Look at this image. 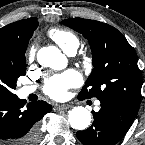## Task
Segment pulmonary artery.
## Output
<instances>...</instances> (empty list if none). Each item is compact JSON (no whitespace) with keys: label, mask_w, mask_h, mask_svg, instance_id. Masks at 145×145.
Wrapping results in <instances>:
<instances>
[{"label":"pulmonary artery","mask_w":145,"mask_h":145,"mask_svg":"<svg viewBox=\"0 0 145 145\" xmlns=\"http://www.w3.org/2000/svg\"><path fill=\"white\" fill-rule=\"evenodd\" d=\"M77 51V47L73 46V47H70L68 49L65 50V52L72 56V55H75ZM36 90V86H24V87H21L19 89V93H20V96L21 97H27L28 95L32 94L33 92H35ZM100 103L99 102H96V105L98 106Z\"/></svg>","instance_id":"pulmonary-artery-1"}]
</instances>
